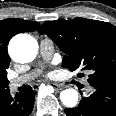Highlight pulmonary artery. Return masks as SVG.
Masks as SVG:
<instances>
[{"mask_svg":"<svg viewBox=\"0 0 116 116\" xmlns=\"http://www.w3.org/2000/svg\"><path fill=\"white\" fill-rule=\"evenodd\" d=\"M40 52L43 58L48 61L51 59L53 53H54V44L52 40L49 38H43L40 41ZM39 71H33L30 73H27L25 75L16 77L14 79H11L9 81V88L11 91L17 90L22 85L26 84L27 82L31 81L34 77L38 75Z\"/></svg>","mask_w":116,"mask_h":116,"instance_id":"pulmonary-artery-1","label":"pulmonary artery"}]
</instances>
